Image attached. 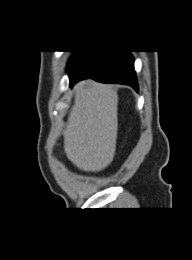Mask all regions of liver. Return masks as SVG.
<instances>
[{
	"label": "liver",
	"mask_w": 192,
	"mask_h": 260,
	"mask_svg": "<svg viewBox=\"0 0 192 260\" xmlns=\"http://www.w3.org/2000/svg\"><path fill=\"white\" fill-rule=\"evenodd\" d=\"M74 105L64 131V150L80 170L98 172L113 160L117 138L116 91L85 80L74 87Z\"/></svg>",
	"instance_id": "1"
}]
</instances>
